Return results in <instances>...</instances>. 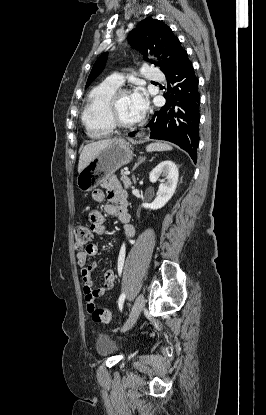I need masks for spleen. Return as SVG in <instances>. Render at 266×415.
I'll list each match as a JSON object with an SVG mask.
<instances>
[{
	"label": "spleen",
	"instance_id": "spleen-1",
	"mask_svg": "<svg viewBox=\"0 0 266 415\" xmlns=\"http://www.w3.org/2000/svg\"><path fill=\"white\" fill-rule=\"evenodd\" d=\"M146 150L148 152H152V151H168V150H172V147L169 144L166 143H151L146 147Z\"/></svg>",
	"mask_w": 266,
	"mask_h": 415
}]
</instances>
